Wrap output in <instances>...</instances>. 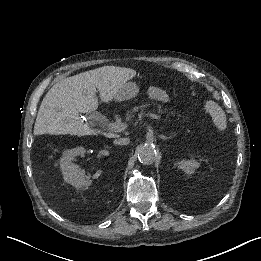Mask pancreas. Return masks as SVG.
<instances>
[{"mask_svg":"<svg viewBox=\"0 0 261 261\" xmlns=\"http://www.w3.org/2000/svg\"><path fill=\"white\" fill-rule=\"evenodd\" d=\"M145 109H153L154 111H159L160 114H164L167 117H171L172 120L177 122L178 124H186L187 118L177 113H173L172 109H168L167 107H160L159 104H146L141 103L135 107L128 108V111H125L123 114V119H126L128 123H133V117L137 111L145 110Z\"/></svg>","mask_w":261,"mask_h":261,"instance_id":"cf45deb5","label":"pancreas"}]
</instances>
